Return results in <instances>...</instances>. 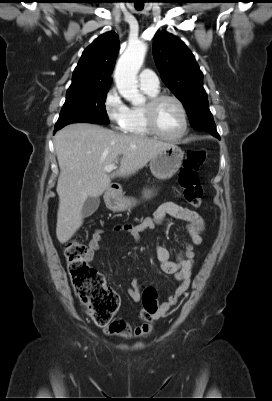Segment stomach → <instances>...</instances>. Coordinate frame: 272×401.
Returning a JSON list of instances; mask_svg holds the SVG:
<instances>
[{
	"label": "stomach",
	"mask_w": 272,
	"mask_h": 401,
	"mask_svg": "<svg viewBox=\"0 0 272 401\" xmlns=\"http://www.w3.org/2000/svg\"><path fill=\"white\" fill-rule=\"evenodd\" d=\"M183 157L184 152L178 146L171 144L151 159L150 170L160 180L170 179L179 170ZM143 196L146 199L151 198L153 190L145 189ZM105 203L110 210L125 211L133 207L136 204V200L117 193L106 195Z\"/></svg>",
	"instance_id": "1"
}]
</instances>
